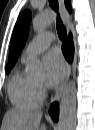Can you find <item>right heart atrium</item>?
Wrapping results in <instances>:
<instances>
[{"label": "right heart atrium", "instance_id": "d8ad5b80", "mask_svg": "<svg viewBox=\"0 0 95 130\" xmlns=\"http://www.w3.org/2000/svg\"><path fill=\"white\" fill-rule=\"evenodd\" d=\"M38 87H39V90L41 91V93H43V91H44L43 86L41 84H38Z\"/></svg>", "mask_w": 95, "mask_h": 130}]
</instances>
